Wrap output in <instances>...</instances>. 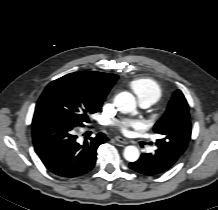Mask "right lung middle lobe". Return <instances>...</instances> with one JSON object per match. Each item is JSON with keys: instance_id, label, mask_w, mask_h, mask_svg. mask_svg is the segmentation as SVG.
I'll return each mask as SVG.
<instances>
[{"instance_id": "obj_1", "label": "right lung middle lobe", "mask_w": 218, "mask_h": 210, "mask_svg": "<svg viewBox=\"0 0 218 210\" xmlns=\"http://www.w3.org/2000/svg\"><path fill=\"white\" fill-rule=\"evenodd\" d=\"M101 104L73 91L58 81H52L40 96L34 115H55L70 120L76 126H84L88 115L97 112Z\"/></svg>"}]
</instances>
